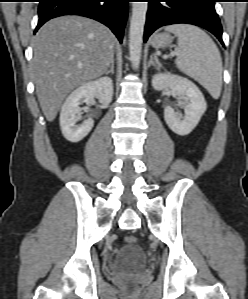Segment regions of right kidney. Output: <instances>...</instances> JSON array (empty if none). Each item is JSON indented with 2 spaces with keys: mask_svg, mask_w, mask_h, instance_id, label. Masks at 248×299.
I'll return each instance as SVG.
<instances>
[{
  "mask_svg": "<svg viewBox=\"0 0 248 299\" xmlns=\"http://www.w3.org/2000/svg\"><path fill=\"white\" fill-rule=\"evenodd\" d=\"M113 82L108 77H101L89 81L74 90L65 100L60 113V127L64 137L73 143L81 141L94 126L92 118L76 125L80 120L81 103L89 105L96 97L102 105H108L112 101Z\"/></svg>",
  "mask_w": 248,
  "mask_h": 299,
  "instance_id": "obj_1",
  "label": "right kidney"
}]
</instances>
